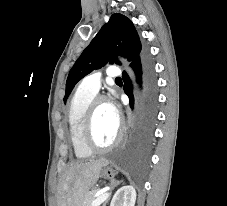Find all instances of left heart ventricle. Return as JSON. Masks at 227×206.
<instances>
[{
  "instance_id": "1",
  "label": "left heart ventricle",
  "mask_w": 227,
  "mask_h": 206,
  "mask_svg": "<svg viewBox=\"0 0 227 206\" xmlns=\"http://www.w3.org/2000/svg\"><path fill=\"white\" fill-rule=\"evenodd\" d=\"M118 120L110 113L108 104L102 103L98 106L94 121V138L101 145L110 144L117 133Z\"/></svg>"
}]
</instances>
